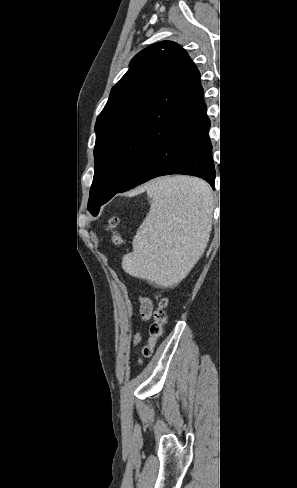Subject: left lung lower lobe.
Instances as JSON below:
<instances>
[{"label":"left lung lower lobe","mask_w":297,"mask_h":488,"mask_svg":"<svg viewBox=\"0 0 297 488\" xmlns=\"http://www.w3.org/2000/svg\"><path fill=\"white\" fill-rule=\"evenodd\" d=\"M206 111L207 108L172 133L137 168L117 193L169 174L197 176L206 180L214 189L215 169L208 136L210 120Z\"/></svg>","instance_id":"0a47b994"}]
</instances>
